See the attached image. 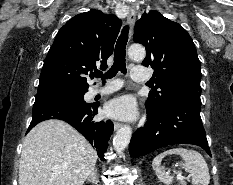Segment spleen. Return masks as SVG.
<instances>
[{
    "label": "spleen",
    "instance_id": "obj_1",
    "mask_svg": "<svg viewBox=\"0 0 233 185\" xmlns=\"http://www.w3.org/2000/svg\"><path fill=\"white\" fill-rule=\"evenodd\" d=\"M178 154L182 157V168L192 175L193 185H208L210 182L209 168L203 156L187 148H171L157 155L152 161V167L158 179L166 185L173 182V177L166 174L161 167L162 159L167 155Z\"/></svg>",
    "mask_w": 233,
    "mask_h": 185
}]
</instances>
